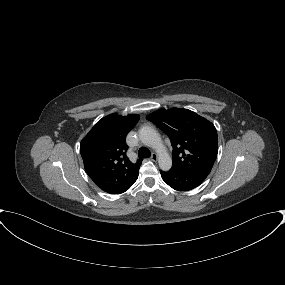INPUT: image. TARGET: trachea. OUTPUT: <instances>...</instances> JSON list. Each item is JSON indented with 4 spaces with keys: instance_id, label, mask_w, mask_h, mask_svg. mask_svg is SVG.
Segmentation results:
<instances>
[{
    "instance_id": "obj_1",
    "label": "trachea",
    "mask_w": 285,
    "mask_h": 285,
    "mask_svg": "<svg viewBox=\"0 0 285 285\" xmlns=\"http://www.w3.org/2000/svg\"><path fill=\"white\" fill-rule=\"evenodd\" d=\"M138 156L139 158H146V157H150L151 153L147 148L141 147L138 151Z\"/></svg>"
}]
</instances>
